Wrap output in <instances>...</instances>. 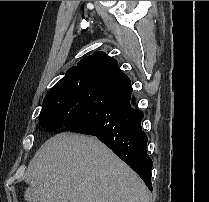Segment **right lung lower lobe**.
Segmentation results:
<instances>
[{
	"instance_id": "1",
	"label": "right lung lower lobe",
	"mask_w": 209,
	"mask_h": 202,
	"mask_svg": "<svg viewBox=\"0 0 209 202\" xmlns=\"http://www.w3.org/2000/svg\"><path fill=\"white\" fill-rule=\"evenodd\" d=\"M131 92L130 79L119 69L91 78L81 91L78 109L65 120L63 128L96 136L152 190L153 162L141 128L144 115L131 107Z\"/></svg>"
}]
</instances>
